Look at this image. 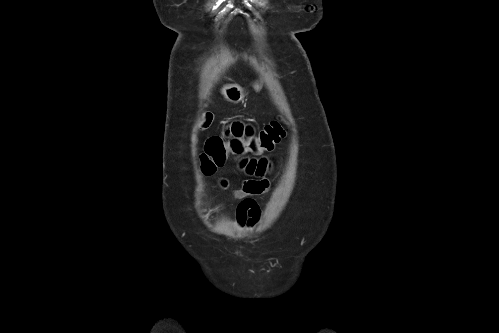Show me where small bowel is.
<instances>
[{"label":"small bowel","instance_id":"obj_1","mask_svg":"<svg viewBox=\"0 0 499 333\" xmlns=\"http://www.w3.org/2000/svg\"><path fill=\"white\" fill-rule=\"evenodd\" d=\"M254 134L256 133L252 128L236 122L230 126L226 133V138L231 136L250 138ZM236 158L240 159V164L245 168L247 174L258 177L245 180L243 185L234 191V196L241 200L236 211L237 224L239 226H253L260 217L259 208L253 197L264 194L269 189V182L262 178L267 169L268 162L265 157Z\"/></svg>","mask_w":499,"mask_h":333}]
</instances>
